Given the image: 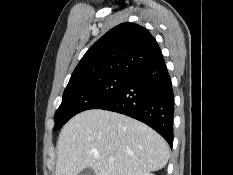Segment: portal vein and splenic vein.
<instances>
[{
  "instance_id": "1",
  "label": "portal vein and splenic vein",
  "mask_w": 233,
  "mask_h": 175,
  "mask_svg": "<svg viewBox=\"0 0 233 175\" xmlns=\"http://www.w3.org/2000/svg\"><path fill=\"white\" fill-rule=\"evenodd\" d=\"M109 161L112 163L114 160H113V159H110Z\"/></svg>"
}]
</instances>
